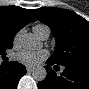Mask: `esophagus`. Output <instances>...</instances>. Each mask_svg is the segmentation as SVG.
<instances>
[{"mask_svg":"<svg viewBox=\"0 0 89 89\" xmlns=\"http://www.w3.org/2000/svg\"><path fill=\"white\" fill-rule=\"evenodd\" d=\"M26 69H27V72H32L33 71V68L30 67V66H28Z\"/></svg>","mask_w":89,"mask_h":89,"instance_id":"obj_1","label":"esophagus"}]
</instances>
